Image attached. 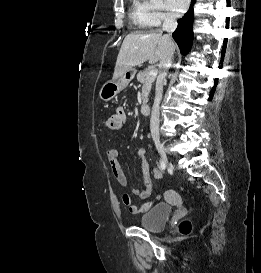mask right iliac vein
<instances>
[{
    "instance_id": "1",
    "label": "right iliac vein",
    "mask_w": 261,
    "mask_h": 273,
    "mask_svg": "<svg viewBox=\"0 0 261 273\" xmlns=\"http://www.w3.org/2000/svg\"><path fill=\"white\" fill-rule=\"evenodd\" d=\"M153 141H154L155 147H156L159 155L161 156L163 162L165 164H168L169 161H168V157H167L166 151H165L163 145L161 144L159 138L158 137H154Z\"/></svg>"
}]
</instances>
